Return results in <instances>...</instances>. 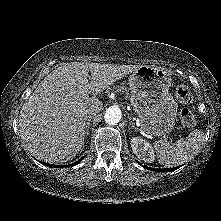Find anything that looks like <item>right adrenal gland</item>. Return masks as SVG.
Returning a JSON list of instances; mask_svg holds the SVG:
<instances>
[{
    "label": "right adrenal gland",
    "instance_id": "1",
    "mask_svg": "<svg viewBox=\"0 0 221 221\" xmlns=\"http://www.w3.org/2000/svg\"><path fill=\"white\" fill-rule=\"evenodd\" d=\"M92 119V116H88L87 119H86V129H85V134L86 136L89 135V129H90V121Z\"/></svg>",
    "mask_w": 221,
    "mask_h": 221
}]
</instances>
